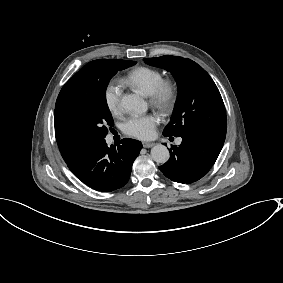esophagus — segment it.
Instances as JSON below:
<instances>
[{
    "instance_id": "esophagus-1",
    "label": "esophagus",
    "mask_w": 283,
    "mask_h": 283,
    "mask_svg": "<svg viewBox=\"0 0 283 283\" xmlns=\"http://www.w3.org/2000/svg\"><path fill=\"white\" fill-rule=\"evenodd\" d=\"M156 143H147V142H143V147L144 148H151L153 146H155Z\"/></svg>"
}]
</instances>
